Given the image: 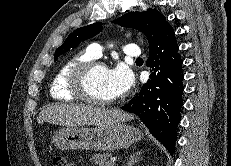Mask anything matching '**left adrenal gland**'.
Instances as JSON below:
<instances>
[{"label": "left adrenal gland", "instance_id": "1", "mask_svg": "<svg viewBox=\"0 0 231 166\" xmlns=\"http://www.w3.org/2000/svg\"><path fill=\"white\" fill-rule=\"evenodd\" d=\"M141 154L142 153L140 151L133 153L127 160L125 166H134L137 162L140 161Z\"/></svg>", "mask_w": 231, "mask_h": 166}]
</instances>
